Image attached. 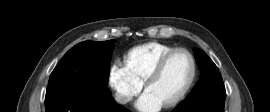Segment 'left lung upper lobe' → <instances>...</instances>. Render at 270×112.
I'll use <instances>...</instances> for the list:
<instances>
[{
	"label": "left lung upper lobe",
	"instance_id": "obj_1",
	"mask_svg": "<svg viewBox=\"0 0 270 112\" xmlns=\"http://www.w3.org/2000/svg\"><path fill=\"white\" fill-rule=\"evenodd\" d=\"M194 53L198 67L201 69V77L186 100L198 98L205 91L215 85H224L218 68L206 55V53L199 48H195Z\"/></svg>",
	"mask_w": 270,
	"mask_h": 112
}]
</instances>
